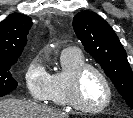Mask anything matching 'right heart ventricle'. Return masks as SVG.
I'll return each mask as SVG.
<instances>
[{
  "instance_id": "e07e8e85",
  "label": "right heart ventricle",
  "mask_w": 133,
  "mask_h": 118,
  "mask_svg": "<svg viewBox=\"0 0 133 118\" xmlns=\"http://www.w3.org/2000/svg\"><path fill=\"white\" fill-rule=\"evenodd\" d=\"M62 70L50 75L49 100L61 107H71L68 99V81L71 73L85 63L84 56L78 49H66L61 53Z\"/></svg>"
}]
</instances>
